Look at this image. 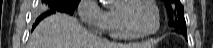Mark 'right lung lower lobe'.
I'll return each mask as SVG.
<instances>
[{
	"label": "right lung lower lobe",
	"mask_w": 213,
	"mask_h": 48,
	"mask_svg": "<svg viewBox=\"0 0 213 48\" xmlns=\"http://www.w3.org/2000/svg\"><path fill=\"white\" fill-rule=\"evenodd\" d=\"M55 12H59L58 10H55L53 8H48L47 11L45 13H43L36 21V23L33 25V28L39 23L40 20H42L43 18H45L46 16H49L50 14H53Z\"/></svg>",
	"instance_id": "obj_1"
}]
</instances>
